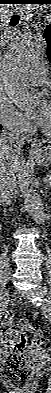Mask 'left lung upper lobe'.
Instances as JSON below:
<instances>
[{
	"label": "left lung upper lobe",
	"mask_w": 51,
	"mask_h": 393,
	"mask_svg": "<svg viewBox=\"0 0 51 393\" xmlns=\"http://www.w3.org/2000/svg\"><path fill=\"white\" fill-rule=\"evenodd\" d=\"M44 37L47 41V57L51 62V24L46 27Z\"/></svg>",
	"instance_id": "left-lung-upper-lobe-1"
}]
</instances>
